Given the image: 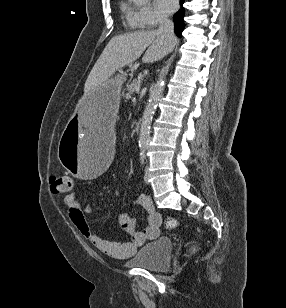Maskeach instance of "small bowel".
Returning a JSON list of instances; mask_svg holds the SVG:
<instances>
[{
    "instance_id": "c3829d8e",
    "label": "small bowel",
    "mask_w": 286,
    "mask_h": 308,
    "mask_svg": "<svg viewBox=\"0 0 286 308\" xmlns=\"http://www.w3.org/2000/svg\"><path fill=\"white\" fill-rule=\"evenodd\" d=\"M64 204L72 224L79 233L90 244L111 257H131L146 241L154 240L159 236L161 215L155 211L152 200L148 195L142 194L135 201V205L143 207L147 213V226L143 230L137 229V222L134 217L127 213L121 214V226L130 235V239L124 242L107 240L96 234L84 216L85 212H93V207L82 204L74 193L67 194L64 197Z\"/></svg>"
}]
</instances>
